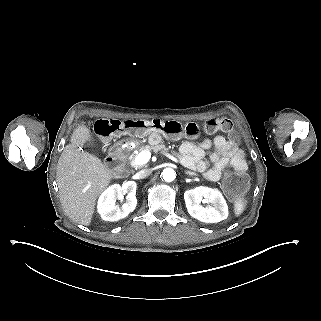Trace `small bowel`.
<instances>
[{"mask_svg": "<svg viewBox=\"0 0 321 321\" xmlns=\"http://www.w3.org/2000/svg\"><path fill=\"white\" fill-rule=\"evenodd\" d=\"M152 141H158L157 135L152 136ZM212 146L215 147L209 160L205 159V152ZM180 158L182 163L194 170L204 173L210 181H218L222 171L228 166H235L238 169L245 170L246 163L242 152L232 140L223 135L216 136L213 140L204 139L199 144L191 141H185L180 146Z\"/></svg>", "mask_w": 321, "mask_h": 321, "instance_id": "c3829d8e", "label": "small bowel"}]
</instances>
